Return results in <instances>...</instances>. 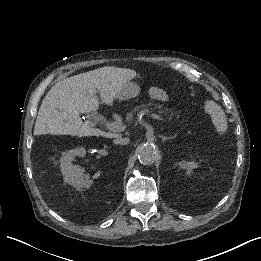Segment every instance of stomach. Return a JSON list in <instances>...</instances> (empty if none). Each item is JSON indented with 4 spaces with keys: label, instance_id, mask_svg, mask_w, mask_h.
<instances>
[{
    "label": "stomach",
    "instance_id": "0dacf381",
    "mask_svg": "<svg viewBox=\"0 0 261 261\" xmlns=\"http://www.w3.org/2000/svg\"><path fill=\"white\" fill-rule=\"evenodd\" d=\"M140 90L139 85L133 82H128L120 89L116 95V98L119 100L133 98L140 94Z\"/></svg>",
    "mask_w": 261,
    "mask_h": 261
}]
</instances>
